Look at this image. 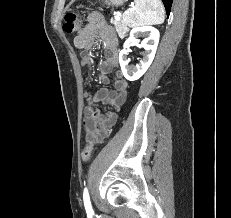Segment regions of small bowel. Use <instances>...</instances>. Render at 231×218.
I'll use <instances>...</instances> for the list:
<instances>
[{"label": "small bowel", "mask_w": 231, "mask_h": 218, "mask_svg": "<svg viewBox=\"0 0 231 218\" xmlns=\"http://www.w3.org/2000/svg\"><path fill=\"white\" fill-rule=\"evenodd\" d=\"M99 38L104 46L105 59L98 65L101 80L107 84L110 82L106 74L114 69V88H101L94 94L85 92L88 105L85 108L84 127L87 135L95 142L103 141L110 133L117 119V111L120 109L128 94V84L118 70V38L114 29L109 26L104 16L98 11H92L88 15L87 24L74 37V45L81 50V64L84 67H94L95 63L89 51ZM106 103L114 108V111L101 113L97 105Z\"/></svg>", "instance_id": "1"}]
</instances>
